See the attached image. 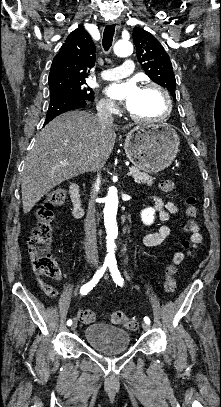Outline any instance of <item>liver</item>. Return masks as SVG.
<instances>
[{
  "label": "liver",
  "instance_id": "obj_1",
  "mask_svg": "<svg viewBox=\"0 0 221 407\" xmlns=\"http://www.w3.org/2000/svg\"><path fill=\"white\" fill-rule=\"evenodd\" d=\"M131 126L102 129L97 117L86 111H70L49 122L38 134L26 157L21 178L23 212L29 213L40 199L62 182L93 171L98 161L108 160L115 131Z\"/></svg>",
  "mask_w": 221,
  "mask_h": 407
}]
</instances>
